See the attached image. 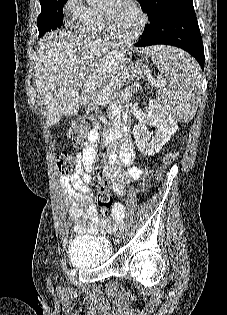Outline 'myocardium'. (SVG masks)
Listing matches in <instances>:
<instances>
[{
	"mask_svg": "<svg viewBox=\"0 0 227 315\" xmlns=\"http://www.w3.org/2000/svg\"><path fill=\"white\" fill-rule=\"evenodd\" d=\"M132 7L133 9L136 11L138 17H139V25H138V28L137 30L132 34V35H129V36H124V35H120L118 34L112 27L111 25V22L108 18V15L101 11L100 14H101V17H102V22H103V25L105 27V30L106 32L108 33L109 36L117 39V40H121V41H126V42H131V41H134L136 40L137 38H139L145 27H146V24H147V15L145 14V12L143 11V9L140 7V5L135 1V0H126Z\"/></svg>",
	"mask_w": 227,
	"mask_h": 315,
	"instance_id": "obj_1",
	"label": "myocardium"
}]
</instances>
